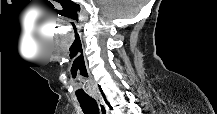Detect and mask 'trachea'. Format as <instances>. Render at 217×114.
Returning a JSON list of instances; mask_svg holds the SVG:
<instances>
[{
  "label": "trachea",
  "instance_id": "obj_1",
  "mask_svg": "<svg viewBox=\"0 0 217 114\" xmlns=\"http://www.w3.org/2000/svg\"><path fill=\"white\" fill-rule=\"evenodd\" d=\"M80 106L85 114H99L98 104L93 98H79Z\"/></svg>",
  "mask_w": 217,
  "mask_h": 114
}]
</instances>
